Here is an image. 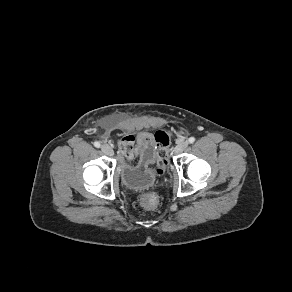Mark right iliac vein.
I'll return each instance as SVG.
<instances>
[{
    "mask_svg": "<svg viewBox=\"0 0 292 292\" xmlns=\"http://www.w3.org/2000/svg\"><path fill=\"white\" fill-rule=\"evenodd\" d=\"M101 150H102V152L105 153L106 155H109V156H112V155H113V150H112V148H111L109 145H107V144H103V145L101 146Z\"/></svg>",
    "mask_w": 292,
    "mask_h": 292,
    "instance_id": "1",
    "label": "right iliac vein"
}]
</instances>
